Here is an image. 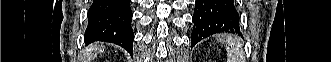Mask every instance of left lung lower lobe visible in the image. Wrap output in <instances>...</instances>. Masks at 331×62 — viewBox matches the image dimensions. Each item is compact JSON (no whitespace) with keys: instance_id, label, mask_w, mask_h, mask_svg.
<instances>
[{"instance_id":"obj_1","label":"left lung lower lobe","mask_w":331,"mask_h":62,"mask_svg":"<svg viewBox=\"0 0 331 62\" xmlns=\"http://www.w3.org/2000/svg\"><path fill=\"white\" fill-rule=\"evenodd\" d=\"M192 19L191 47L220 32L238 33L242 37L234 0H196Z\"/></svg>"}]
</instances>
